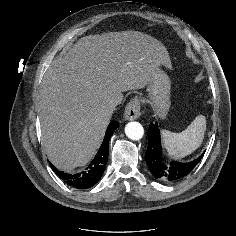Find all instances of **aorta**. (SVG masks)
<instances>
[{
	"instance_id": "762f6f07",
	"label": "aorta",
	"mask_w": 236,
	"mask_h": 236,
	"mask_svg": "<svg viewBox=\"0 0 236 236\" xmlns=\"http://www.w3.org/2000/svg\"><path fill=\"white\" fill-rule=\"evenodd\" d=\"M125 134L131 140H140L144 135L143 126L139 122H129L125 126Z\"/></svg>"
}]
</instances>
